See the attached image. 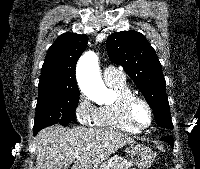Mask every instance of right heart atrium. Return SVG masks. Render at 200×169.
Returning a JSON list of instances; mask_svg holds the SVG:
<instances>
[{
  "instance_id": "1",
  "label": "right heart atrium",
  "mask_w": 200,
  "mask_h": 169,
  "mask_svg": "<svg viewBox=\"0 0 200 169\" xmlns=\"http://www.w3.org/2000/svg\"><path fill=\"white\" fill-rule=\"evenodd\" d=\"M96 107L83 94H80L75 105V116L82 125H89L94 122Z\"/></svg>"
}]
</instances>
